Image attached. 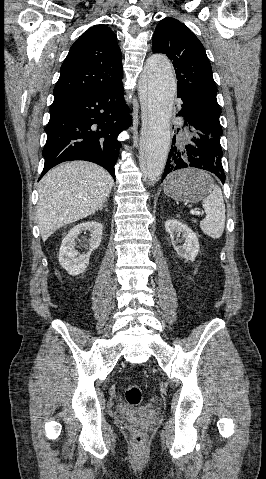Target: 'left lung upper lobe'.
Here are the masks:
<instances>
[{
    "instance_id": "obj_1",
    "label": "left lung upper lobe",
    "mask_w": 266,
    "mask_h": 479,
    "mask_svg": "<svg viewBox=\"0 0 266 479\" xmlns=\"http://www.w3.org/2000/svg\"><path fill=\"white\" fill-rule=\"evenodd\" d=\"M152 50L172 60L176 71L178 97L185 99L204 117L213 131L221 136V109L217 87L205 49L184 24L174 18L162 19L153 34Z\"/></svg>"
}]
</instances>
